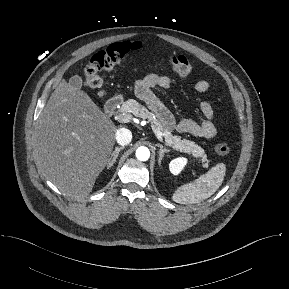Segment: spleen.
Wrapping results in <instances>:
<instances>
[{
  "label": "spleen",
  "mask_w": 289,
  "mask_h": 289,
  "mask_svg": "<svg viewBox=\"0 0 289 289\" xmlns=\"http://www.w3.org/2000/svg\"><path fill=\"white\" fill-rule=\"evenodd\" d=\"M225 173L226 165L218 163L193 182L179 187L174 192L172 199L180 204L200 203L218 190L224 180Z\"/></svg>",
  "instance_id": "obj_1"
}]
</instances>
